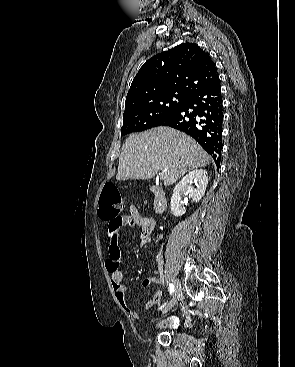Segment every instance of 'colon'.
<instances>
[{"mask_svg": "<svg viewBox=\"0 0 295 367\" xmlns=\"http://www.w3.org/2000/svg\"><path fill=\"white\" fill-rule=\"evenodd\" d=\"M124 209V200L113 183H106L100 197V212L104 220L116 221Z\"/></svg>", "mask_w": 295, "mask_h": 367, "instance_id": "1", "label": "colon"}]
</instances>
